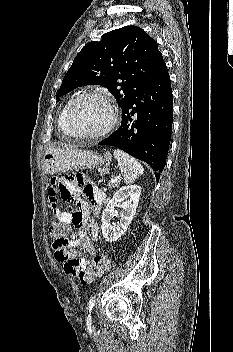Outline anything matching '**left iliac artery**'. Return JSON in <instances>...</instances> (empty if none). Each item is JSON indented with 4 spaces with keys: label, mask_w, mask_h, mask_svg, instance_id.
<instances>
[{
    "label": "left iliac artery",
    "mask_w": 233,
    "mask_h": 352,
    "mask_svg": "<svg viewBox=\"0 0 233 352\" xmlns=\"http://www.w3.org/2000/svg\"><path fill=\"white\" fill-rule=\"evenodd\" d=\"M94 303H95V296H92L90 299H89V302H88V310H89V313H91L92 311V308L94 306ZM90 314L88 316V319H90Z\"/></svg>",
    "instance_id": "left-iliac-artery-1"
}]
</instances>
